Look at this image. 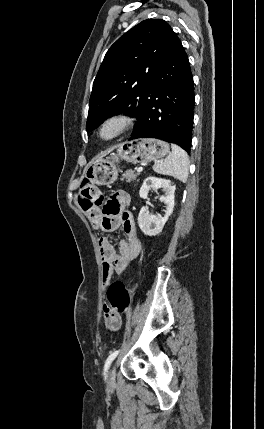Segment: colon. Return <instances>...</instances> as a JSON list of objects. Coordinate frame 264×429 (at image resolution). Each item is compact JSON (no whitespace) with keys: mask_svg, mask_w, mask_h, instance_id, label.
I'll use <instances>...</instances> for the list:
<instances>
[{"mask_svg":"<svg viewBox=\"0 0 264 429\" xmlns=\"http://www.w3.org/2000/svg\"><path fill=\"white\" fill-rule=\"evenodd\" d=\"M79 204L85 212H90L99 207L104 200L103 191L86 180L82 183L79 196ZM134 294V287L124 281L111 282L106 290L107 309L113 313L122 314L130 307Z\"/></svg>","mask_w":264,"mask_h":429,"instance_id":"obj_1","label":"colon"}]
</instances>
